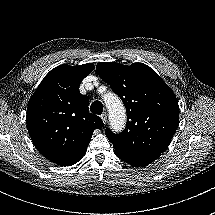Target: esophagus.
<instances>
[{"label": "esophagus", "mask_w": 215, "mask_h": 215, "mask_svg": "<svg viewBox=\"0 0 215 215\" xmlns=\"http://www.w3.org/2000/svg\"><path fill=\"white\" fill-rule=\"evenodd\" d=\"M100 118L102 119V121H103L104 123H106V121H107V113H106V112H103V113L101 114Z\"/></svg>", "instance_id": "obj_1"}]
</instances>
